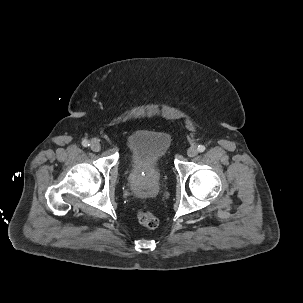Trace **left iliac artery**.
<instances>
[{"instance_id":"44dca946","label":"left iliac artery","mask_w":303,"mask_h":303,"mask_svg":"<svg viewBox=\"0 0 303 303\" xmlns=\"http://www.w3.org/2000/svg\"><path fill=\"white\" fill-rule=\"evenodd\" d=\"M205 149H206V148H205L204 145H199L198 148H197V150H198L199 152H204Z\"/></svg>"}]
</instances>
